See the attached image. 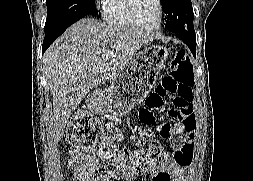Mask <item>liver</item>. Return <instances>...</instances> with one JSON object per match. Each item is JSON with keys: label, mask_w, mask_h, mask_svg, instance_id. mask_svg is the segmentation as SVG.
<instances>
[{"label": "liver", "mask_w": 253, "mask_h": 181, "mask_svg": "<svg viewBox=\"0 0 253 181\" xmlns=\"http://www.w3.org/2000/svg\"><path fill=\"white\" fill-rule=\"evenodd\" d=\"M154 33L84 18L74 23L45 52V76L53 102L55 140L64 135L70 115L90 89L104 85ZM107 52L114 57L106 58Z\"/></svg>", "instance_id": "liver-1"}]
</instances>
